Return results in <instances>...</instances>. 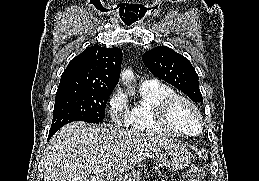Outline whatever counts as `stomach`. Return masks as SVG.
Here are the masks:
<instances>
[{"label": "stomach", "mask_w": 259, "mask_h": 181, "mask_svg": "<svg viewBox=\"0 0 259 181\" xmlns=\"http://www.w3.org/2000/svg\"><path fill=\"white\" fill-rule=\"evenodd\" d=\"M156 162L168 170H179L190 164L191 154L179 144L172 143L169 148L156 153ZM139 173L133 172L123 179H116V181H135V179L139 178Z\"/></svg>", "instance_id": "0dacf381"}]
</instances>
